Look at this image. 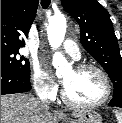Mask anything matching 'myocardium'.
Wrapping results in <instances>:
<instances>
[{"mask_svg":"<svg viewBox=\"0 0 122 123\" xmlns=\"http://www.w3.org/2000/svg\"><path fill=\"white\" fill-rule=\"evenodd\" d=\"M74 69L76 71H82L85 69L96 70L102 76V78L105 82L106 92L101 99H99L95 102L86 103V102H80V101H76V100L72 99L69 96L65 86H63V88L61 90V96H62L63 101L70 106L81 107V108H95V107L101 106L104 103H106L112 94V82H111L109 75L106 73V71L99 65H96L94 63H89V62L79 63L74 67Z\"/></svg>","mask_w":122,"mask_h":123,"instance_id":"f54148a6","label":"myocardium"}]
</instances>
